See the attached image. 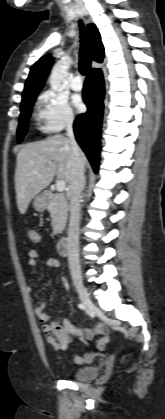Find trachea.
<instances>
[{
  "instance_id": "1",
  "label": "trachea",
  "mask_w": 165,
  "mask_h": 419,
  "mask_svg": "<svg viewBox=\"0 0 165 419\" xmlns=\"http://www.w3.org/2000/svg\"><path fill=\"white\" fill-rule=\"evenodd\" d=\"M80 32H81V49H80V61H79V70L82 75H86L91 66V55L89 47L84 35L83 23L80 21Z\"/></svg>"
}]
</instances>
